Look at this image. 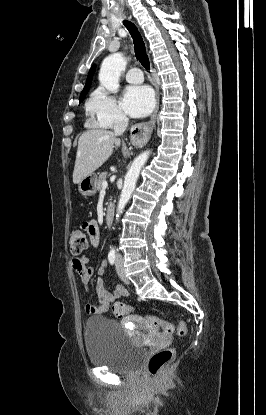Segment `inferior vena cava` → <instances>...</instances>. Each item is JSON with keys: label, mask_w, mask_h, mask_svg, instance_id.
<instances>
[{"label": "inferior vena cava", "mask_w": 266, "mask_h": 415, "mask_svg": "<svg viewBox=\"0 0 266 415\" xmlns=\"http://www.w3.org/2000/svg\"><path fill=\"white\" fill-rule=\"evenodd\" d=\"M128 126V118L124 115L120 116L118 120L115 122L114 125V134L115 135H121ZM118 257H120L119 254H117Z\"/></svg>", "instance_id": "inferior-vena-cava-1"}]
</instances>
